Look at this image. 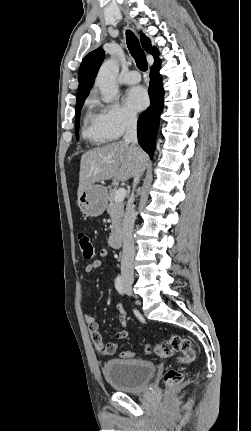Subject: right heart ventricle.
<instances>
[{
    "label": "right heart ventricle",
    "mask_w": 251,
    "mask_h": 431,
    "mask_svg": "<svg viewBox=\"0 0 251 431\" xmlns=\"http://www.w3.org/2000/svg\"><path fill=\"white\" fill-rule=\"evenodd\" d=\"M92 103H88V110L85 114L83 136L89 140L98 143H105L110 140V138L105 135L99 128L96 114L91 111Z\"/></svg>",
    "instance_id": "1"
}]
</instances>
